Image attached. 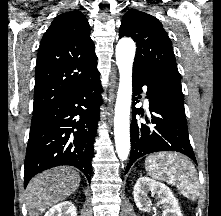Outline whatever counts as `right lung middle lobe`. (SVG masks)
<instances>
[{
  "mask_svg": "<svg viewBox=\"0 0 221 216\" xmlns=\"http://www.w3.org/2000/svg\"><path fill=\"white\" fill-rule=\"evenodd\" d=\"M36 115H33L32 117V123L35 121Z\"/></svg>",
  "mask_w": 221,
  "mask_h": 216,
  "instance_id": "1",
  "label": "right lung middle lobe"
}]
</instances>
